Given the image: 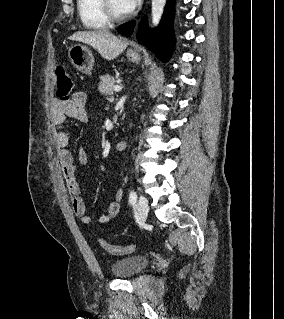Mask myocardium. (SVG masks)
Wrapping results in <instances>:
<instances>
[{
  "label": "myocardium",
  "mask_w": 284,
  "mask_h": 319,
  "mask_svg": "<svg viewBox=\"0 0 284 319\" xmlns=\"http://www.w3.org/2000/svg\"><path fill=\"white\" fill-rule=\"evenodd\" d=\"M101 3H102V9H103L106 17L111 22H122V21L127 20L130 17L129 13H126L123 15L117 14L113 10L111 3H110V0H101Z\"/></svg>",
  "instance_id": "f54148a6"
}]
</instances>
